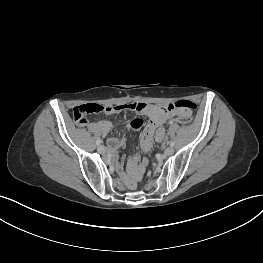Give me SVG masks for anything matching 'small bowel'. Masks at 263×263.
<instances>
[{
	"label": "small bowel",
	"instance_id": "c3829d8e",
	"mask_svg": "<svg viewBox=\"0 0 263 263\" xmlns=\"http://www.w3.org/2000/svg\"><path fill=\"white\" fill-rule=\"evenodd\" d=\"M124 110H129L137 113L140 116L148 118L145 124L143 119L135 118L128 122V127L132 130L138 131L144 127L142 134V147L144 150H149L152 146L153 140L162 142L165 139V130L163 125L166 121L171 118L177 117L182 118L183 116H189L192 113V107L189 104H166L156 105L148 104L144 102H130L115 106H106L105 114H115ZM86 123V122H85ZM85 123L81 124L84 126ZM96 127L102 136L109 133L111 129V123L107 120H101L96 123ZM125 145L124 139L110 138L107 140V151L109 154L118 152ZM137 159L132 160V164H136ZM145 166L144 164L140 167L137 172V178L144 175Z\"/></svg>",
	"mask_w": 263,
	"mask_h": 263
}]
</instances>
